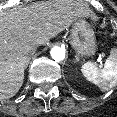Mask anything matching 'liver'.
I'll return each mask as SVG.
<instances>
[{
    "label": "liver",
    "instance_id": "obj_1",
    "mask_svg": "<svg viewBox=\"0 0 117 117\" xmlns=\"http://www.w3.org/2000/svg\"><path fill=\"white\" fill-rule=\"evenodd\" d=\"M89 8L73 0H53L0 11V100L16 95L24 80L28 53L45 45Z\"/></svg>",
    "mask_w": 117,
    "mask_h": 117
}]
</instances>
